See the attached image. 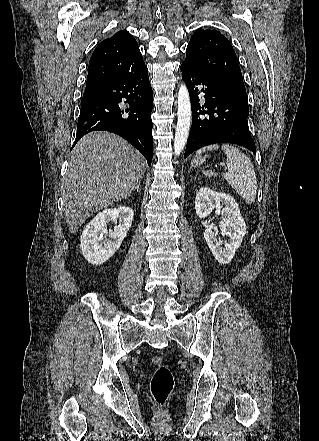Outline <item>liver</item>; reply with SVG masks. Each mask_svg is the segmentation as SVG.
Instances as JSON below:
<instances>
[{"mask_svg":"<svg viewBox=\"0 0 319 441\" xmlns=\"http://www.w3.org/2000/svg\"><path fill=\"white\" fill-rule=\"evenodd\" d=\"M146 169L142 154L121 137L105 131L82 137L63 181L69 231L75 233L97 211L128 198Z\"/></svg>","mask_w":319,"mask_h":441,"instance_id":"obj_1","label":"liver"}]
</instances>
